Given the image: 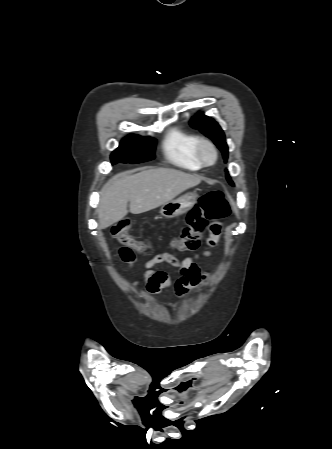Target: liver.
<instances>
[{"instance_id":"obj_1","label":"liver","mask_w":332,"mask_h":449,"mask_svg":"<svg viewBox=\"0 0 332 449\" xmlns=\"http://www.w3.org/2000/svg\"><path fill=\"white\" fill-rule=\"evenodd\" d=\"M200 182L201 177L197 175L170 168L115 175L100 192L99 227L105 229L126 216L128 202L131 213L141 214L171 201Z\"/></svg>"}]
</instances>
